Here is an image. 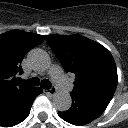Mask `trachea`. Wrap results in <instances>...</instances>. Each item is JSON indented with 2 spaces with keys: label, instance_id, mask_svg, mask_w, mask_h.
<instances>
[{
  "label": "trachea",
  "instance_id": "trachea-1",
  "mask_svg": "<svg viewBox=\"0 0 128 128\" xmlns=\"http://www.w3.org/2000/svg\"><path fill=\"white\" fill-rule=\"evenodd\" d=\"M24 82H25V84L30 85V86H39L40 79L38 77H33V78H31L27 81H24ZM51 86L52 85H51V82L49 80L44 79V80L41 81V87L43 89H50Z\"/></svg>",
  "mask_w": 128,
  "mask_h": 128
}]
</instances>
